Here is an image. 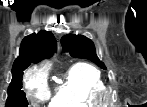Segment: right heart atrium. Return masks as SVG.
<instances>
[{"mask_svg": "<svg viewBox=\"0 0 147 107\" xmlns=\"http://www.w3.org/2000/svg\"><path fill=\"white\" fill-rule=\"evenodd\" d=\"M26 88L33 103L46 100L49 97L47 72L44 69L31 71L26 79Z\"/></svg>", "mask_w": 147, "mask_h": 107, "instance_id": "1", "label": "right heart atrium"}]
</instances>
